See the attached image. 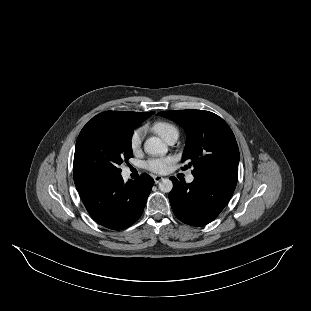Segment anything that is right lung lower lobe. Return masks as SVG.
I'll use <instances>...</instances> for the list:
<instances>
[{
	"label": "right lung lower lobe",
	"mask_w": 311,
	"mask_h": 311,
	"mask_svg": "<svg viewBox=\"0 0 311 311\" xmlns=\"http://www.w3.org/2000/svg\"><path fill=\"white\" fill-rule=\"evenodd\" d=\"M154 180L143 173L139 179L124 183L122 176L87 181L77 187L80 197L100 225L122 230L143 213Z\"/></svg>",
	"instance_id": "98d812e1"
}]
</instances>
